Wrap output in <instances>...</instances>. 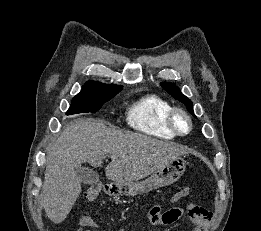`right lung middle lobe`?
<instances>
[{"label":"right lung middle lobe","mask_w":261,"mask_h":231,"mask_svg":"<svg viewBox=\"0 0 261 231\" xmlns=\"http://www.w3.org/2000/svg\"><path fill=\"white\" fill-rule=\"evenodd\" d=\"M118 92L120 91L99 95H76L72 99V103L66 112V115L89 112L95 113L105 102L112 99Z\"/></svg>","instance_id":"1"}]
</instances>
